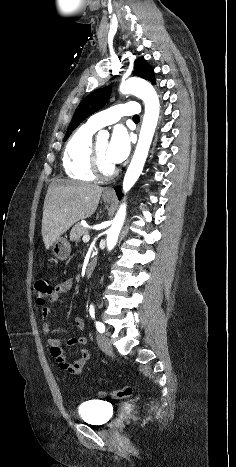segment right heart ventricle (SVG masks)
I'll list each match as a JSON object with an SVG mask.
<instances>
[{"mask_svg": "<svg viewBox=\"0 0 236 467\" xmlns=\"http://www.w3.org/2000/svg\"><path fill=\"white\" fill-rule=\"evenodd\" d=\"M95 131L96 129L85 124L67 142L62 156V164L69 178L87 182L96 179L91 169L92 136Z\"/></svg>", "mask_w": 236, "mask_h": 467, "instance_id": "1", "label": "right heart ventricle"}]
</instances>
